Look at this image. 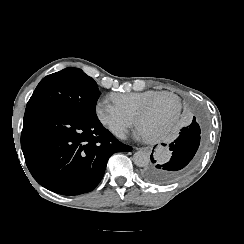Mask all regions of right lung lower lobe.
<instances>
[{
  "instance_id": "1",
  "label": "right lung lower lobe",
  "mask_w": 244,
  "mask_h": 244,
  "mask_svg": "<svg viewBox=\"0 0 244 244\" xmlns=\"http://www.w3.org/2000/svg\"><path fill=\"white\" fill-rule=\"evenodd\" d=\"M21 147L34 179L63 195L93 190L115 152L132 147L118 141L99 122L52 106H27Z\"/></svg>"
}]
</instances>
